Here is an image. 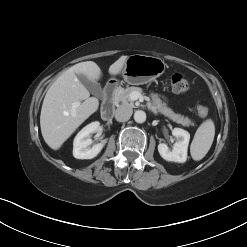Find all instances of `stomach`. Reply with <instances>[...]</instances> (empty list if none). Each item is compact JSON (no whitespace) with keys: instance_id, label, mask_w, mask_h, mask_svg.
<instances>
[{"instance_id":"stomach-1","label":"stomach","mask_w":247,"mask_h":247,"mask_svg":"<svg viewBox=\"0 0 247 247\" xmlns=\"http://www.w3.org/2000/svg\"><path fill=\"white\" fill-rule=\"evenodd\" d=\"M164 60L142 54L130 55L122 69L124 80L131 85H142L155 80L165 72Z\"/></svg>"}]
</instances>
